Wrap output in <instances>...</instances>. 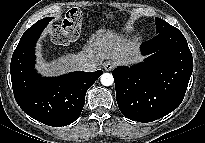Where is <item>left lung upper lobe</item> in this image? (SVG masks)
I'll list each match as a JSON object with an SVG mask.
<instances>
[{
  "instance_id": "1",
  "label": "left lung upper lobe",
  "mask_w": 205,
  "mask_h": 143,
  "mask_svg": "<svg viewBox=\"0 0 205 143\" xmlns=\"http://www.w3.org/2000/svg\"><path fill=\"white\" fill-rule=\"evenodd\" d=\"M156 32L157 34L160 33H165V32H172V31H176L177 28L173 27L172 25H170L169 23H167L166 21L156 17Z\"/></svg>"
}]
</instances>
